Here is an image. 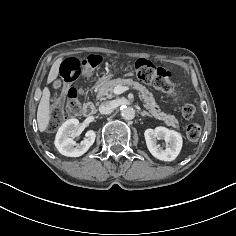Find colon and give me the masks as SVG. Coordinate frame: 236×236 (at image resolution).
<instances>
[{
	"mask_svg": "<svg viewBox=\"0 0 236 236\" xmlns=\"http://www.w3.org/2000/svg\"><path fill=\"white\" fill-rule=\"evenodd\" d=\"M100 64L96 56H89L85 59L67 58L59 68L58 81L72 83L78 80L82 74H88L92 69ZM133 72L142 82L152 84L157 89L174 95L176 89L170 81V72L161 66L155 65L147 59H139L133 65ZM80 90L76 86L67 89V101L64 107L56 102L50 116L48 128L55 130L66 118V115L76 116L82 112V104L79 99ZM196 109L193 105L187 104L182 108V115L185 119H192ZM201 128L197 123H191L186 128V135L189 140H197L200 136Z\"/></svg>",
	"mask_w": 236,
	"mask_h": 236,
	"instance_id": "5ec220e1",
	"label": "colon"
}]
</instances>
